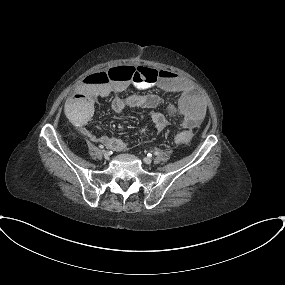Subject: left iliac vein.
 Instances as JSON below:
<instances>
[{"instance_id": "obj_1", "label": "left iliac vein", "mask_w": 285, "mask_h": 285, "mask_svg": "<svg viewBox=\"0 0 285 285\" xmlns=\"http://www.w3.org/2000/svg\"><path fill=\"white\" fill-rule=\"evenodd\" d=\"M143 161L146 163V164H151L152 163V159L150 157H145L143 159Z\"/></svg>"}]
</instances>
